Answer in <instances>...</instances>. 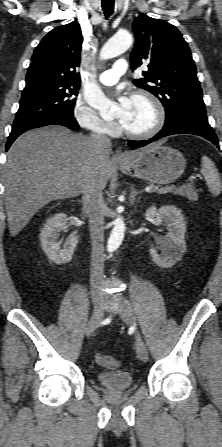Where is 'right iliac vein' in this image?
<instances>
[{"label":"right iliac vein","mask_w":222,"mask_h":447,"mask_svg":"<svg viewBox=\"0 0 222 447\" xmlns=\"http://www.w3.org/2000/svg\"><path fill=\"white\" fill-rule=\"evenodd\" d=\"M104 312L105 309L102 306H97L94 309V312L85 328V333L87 337H89L92 334L95 326L102 320Z\"/></svg>","instance_id":"obj_1"}]
</instances>
